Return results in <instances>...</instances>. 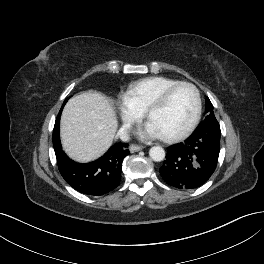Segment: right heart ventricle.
I'll list each match as a JSON object with an SVG mask.
<instances>
[{
  "instance_id": "obj_1",
  "label": "right heart ventricle",
  "mask_w": 264,
  "mask_h": 264,
  "mask_svg": "<svg viewBox=\"0 0 264 264\" xmlns=\"http://www.w3.org/2000/svg\"><path fill=\"white\" fill-rule=\"evenodd\" d=\"M177 82L179 80L165 76L143 78L129 86L124 99L141 112H146L167 87Z\"/></svg>"
}]
</instances>
